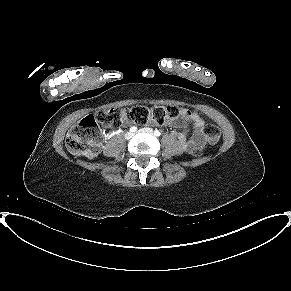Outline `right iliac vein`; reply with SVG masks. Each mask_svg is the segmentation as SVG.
<instances>
[{
	"label": "right iliac vein",
	"instance_id": "1",
	"mask_svg": "<svg viewBox=\"0 0 291 291\" xmlns=\"http://www.w3.org/2000/svg\"><path fill=\"white\" fill-rule=\"evenodd\" d=\"M133 136H134V133L133 132H127L125 134V139L126 140H130Z\"/></svg>",
	"mask_w": 291,
	"mask_h": 291
}]
</instances>
